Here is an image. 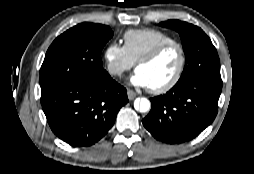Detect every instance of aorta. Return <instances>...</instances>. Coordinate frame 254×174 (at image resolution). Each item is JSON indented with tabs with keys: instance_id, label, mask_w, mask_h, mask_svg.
<instances>
[{
	"instance_id": "1",
	"label": "aorta",
	"mask_w": 254,
	"mask_h": 174,
	"mask_svg": "<svg viewBox=\"0 0 254 174\" xmlns=\"http://www.w3.org/2000/svg\"><path fill=\"white\" fill-rule=\"evenodd\" d=\"M134 107L136 110L144 113L150 110L151 103L147 98H138L134 102Z\"/></svg>"
}]
</instances>
